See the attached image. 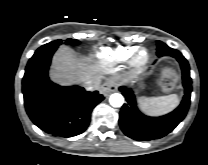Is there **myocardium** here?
Returning a JSON list of instances; mask_svg holds the SVG:
<instances>
[{"label": "myocardium", "instance_id": "obj_1", "mask_svg": "<svg viewBox=\"0 0 208 165\" xmlns=\"http://www.w3.org/2000/svg\"><path fill=\"white\" fill-rule=\"evenodd\" d=\"M150 59V54L147 49L140 48L134 53L133 63L138 66L142 67L148 63Z\"/></svg>", "mask_w": 208, "mask_h": 165}]
</instances>
